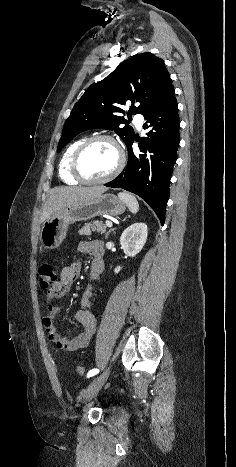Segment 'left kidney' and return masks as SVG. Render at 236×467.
Segmentation results:
<instances>
[{"label":"left kidney","mask_w":236,"mask_h":467,"mask_svg":"<svg viewBox=\"0 0 236 467\" xmlns=\"http://www.w3.org/2000/svg\"><path fill=\"white\" fill-rule=\"evenodd\" d=\"M148 228L145 223H135L129 226L120 237V244L124 253L129 257H135L146 243ZM121 267L115 268L114 272L118 273Z\"/></svg>","instance_id":"1"}]
</instances>
